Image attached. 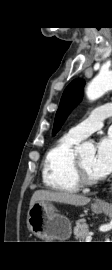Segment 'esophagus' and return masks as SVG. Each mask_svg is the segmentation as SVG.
<instances>
[{
    "mask_svg": "<svg viewBox=\"0 0 112 270\" xmlns=\"http://www.w3.org/2000/svg\"><path fill=\"white\" fill-rule=\"evenodd\" d=\"M112 190V184H111V187H110V191ZM96 205H99V206H104L106 205V202L104 200H97L95 202Z\"/></svg>",
    "mask_w": 112,
    "mask_h": 270,
    "instance_id": "obj_1",
    "label": "esophagus"
}]
</instances>
